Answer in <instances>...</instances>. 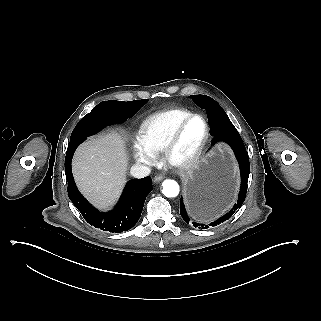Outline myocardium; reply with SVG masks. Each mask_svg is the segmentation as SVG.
<instances>
[{
	"label": "myocardium",
	"mask_w": 321,
	"mask_h": 321,
	"mask_svg": "<svg viewBox=\"0 0 321 321\" xmlns=\"http://www.w3.org/2000/svg\"><path fill=\"white\" fill-rule=\"evenodd\" d=\"M199 118L203 121L204 124V135L198 144V146L194 149L192 153L187 156H181L178 154V141L180 138V134L184 127L193 119ZM210 136V127L206 118L201 114H191L178 122L176 126L173 128L165 146L163 149V156L166 162L176 168H188L193 165L203 154L207 143L209 141Z\"/></svg>",
	"instance_id": "f54148a6"
}]
</instances>
